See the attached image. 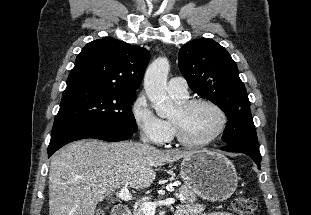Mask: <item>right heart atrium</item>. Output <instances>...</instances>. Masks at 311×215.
Returning <instances> with one entry per match:
<instances>
[{"label":"right heart atrium","mask_w":311,"mask_h":215,"mask_svg":"<svg viewBox=\"0 0 311 215\" xmlns=\"http://www.w3.org/2000/svg\"><path fill=\"white\" fill-rule=\"evenodd\" d=\"M131 115L139 132L148 141L161 145L172 138L171 124L155 114L144 94H139L133 101Z\"/></svg>","instance_id":"right-heart-atrium-1"}]
</instances>
